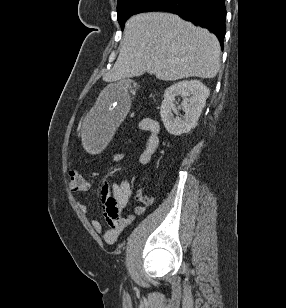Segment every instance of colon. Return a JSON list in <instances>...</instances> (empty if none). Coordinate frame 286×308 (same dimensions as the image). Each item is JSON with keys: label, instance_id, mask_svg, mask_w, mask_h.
I'll return each mask as SVG.
<instances>
[{"label": "colon", "instance_id": "1", "mask_svg": "<svg viewBox=\"0 0 286 308\" xmlns=\"http://www.w3.org/2000/svg\"><path fill=\"white\" fill-rule=\"evenodd\" d=\"M70 189L75 192L84 191L88 188L87 179L79 172L71 171L70 174Z\"/></svg>", "mask_w": 286, "mask_h": 308}]
</instances>
